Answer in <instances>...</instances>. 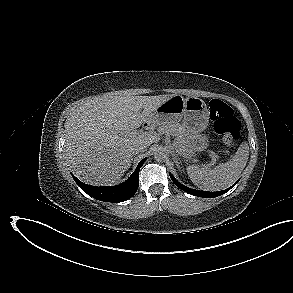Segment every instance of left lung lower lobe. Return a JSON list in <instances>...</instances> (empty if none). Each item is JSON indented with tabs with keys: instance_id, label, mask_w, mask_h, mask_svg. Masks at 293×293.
<instances>
[{
	"instance_id": "left-lung-lower-lobe-1",
	"label": "left lung lower lobe",
	"mask_w": 293,
	"mask_h": 293,
	"mask_svg": "<svg viewBox=\"0 0 293 293\" xmlns=\"http://www.w3.org/2000/svg\"><path fill=\"white\" fill-rule=\"evenodd\" d=\"M170 177L172 179V181L174 182V184L176 186H178L180 189H182L183 191L189 193V194H192L194 196H198V197H204V198H214V197H218L222 194H224L225 192L229 191L233 186H231L230 188L228 189H225V190H222V191H218V192H208V191H199V190H194V189H191V188H188L182 184H180L171 174H170Z\"/></svg>"
}]
</instances>
